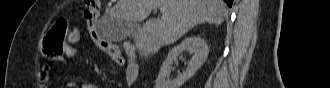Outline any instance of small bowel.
<instances>
[{"label":"small bowel","mask_w":330,"mask_h":88,"mask_svg":"<svg viewBox=\"0 0 330 88\" xmlns=\"http://www.w3.org/2000/svg\"><path fill=\"white\" fill-rule=\"evenodd\" d=\"M80 39V31L77 27L71 26L68 30V35L66 39V46L63 56L58 59V61H64L65 59L72 58L76 55L77 49L75 47V44ZM105 52L112 58V56L119 54L120 59L119 61H115L116 63H122V57L120 53V49L114 45L111 46L108 50H105ZM52 68L50 65H45L39 76V81L41 84H46L49 81L50 74H51ZM76 86V83L73 80H70L66 83V87L68 88H74ZM82 88H89L87 84H83Z\"/></svg>","instance_id":"1"}]
</instances>
